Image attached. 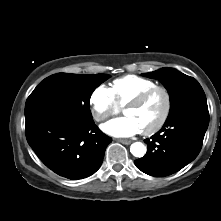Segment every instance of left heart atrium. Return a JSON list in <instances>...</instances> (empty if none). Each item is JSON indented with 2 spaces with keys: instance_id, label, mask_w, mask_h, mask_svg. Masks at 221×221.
<instances>
[{
  "instance_id": "left-heart-atrium-1",
  "label": "left heart atrium",
  "mask_w": 221,
  "mask_h": 221,
  "mask_svg": "<svg viewBox=\"0 0 221 221\" xmlns=\"http://www.w3.org/2000/svg\"><path fill=\"white\" fill-rule=\"evenodd\" d=\"M102 130L115 137H129L140 132L141 128L132 117L124 116L103 124Z\"/></svg>"
}]
</instances>
